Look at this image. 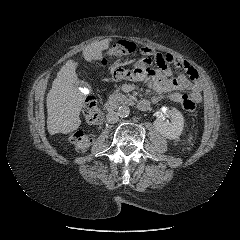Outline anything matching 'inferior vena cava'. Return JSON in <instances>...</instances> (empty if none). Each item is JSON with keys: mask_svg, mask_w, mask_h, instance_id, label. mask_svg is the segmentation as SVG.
I'll list each match as a JSON object with an SVG mask.
<instances>
[{"mask_svg": "<svg viewBox=\"0 0 240 240\" xmlns=\"http://www.w3.org/2000/svg\"><path fill=\"white\" fill-rule=\"evenodd\" d=\"M107 122L110 124H114L118 121V114L116 112H109L106 115Z\"/></svg>", "mask_w": 240, "mask_h": 240, "instance_id": "1", "label": "inferior vena cava"}]
</instances>
